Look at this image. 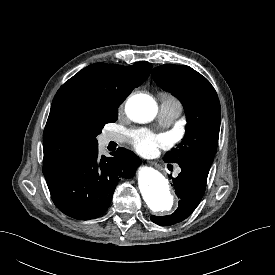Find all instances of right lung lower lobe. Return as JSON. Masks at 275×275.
<instances>
[{
	"label": "right lung lower lobe",
	"mask_w": 275,
	"mask_h": 275,
	"mask_svg": "<svg viewBox=\"0 0 275 275\" xmlns=\"http://www.w3.org/2000/svg\"><path fill=\"white\" fill-rule=\"evenodd\" d=\"M111 155L98 157V146L88 149L46 179L60 211L79 220L97 218L106 212L119 179L133 177L141 163L124 148Z\"/></svg>",
	"instance_id": "obj_1"
}]
</instances>
